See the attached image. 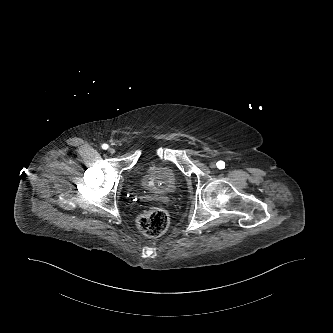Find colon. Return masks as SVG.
Segmentation results:
<instances>
[{"label":"colon","mask_w":333,"mask_h":333,"mask_svg":"<svg viewBox=\"0 0 333 333\" xmlns=\"http://www.w3.org/2000/svg\"><path fill=\"white\" fill-rule=\"evenodd\" d=\"M169 224V215L164 208L155 207L137 219V226L142 233L150 237L163 234Z\"/></svg>","instance_id":"obj_1"}]
</instances>
